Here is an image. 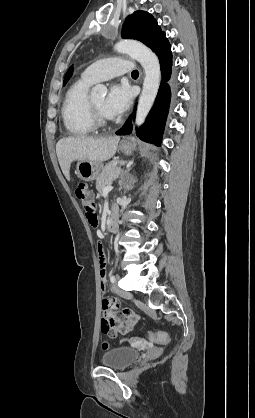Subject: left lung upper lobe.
I'll return each instance as SVG.
<instances>
[{"label":"left lung upper lobe","mask_w":255,"mask_h":418,"mask_svg":"<svg viewBox=\"0 0 255 418\" xmlns=\"http://www.w3.org/2000/svg\"><path fill=\"white\" fill-rule=\"evenodd\" d=\"M122 38L141 41L153 52H156L167 40L165 32H162L157 21L145 11H136L126 18Z\"/></svg>","instance_id":"1"}]
</instances>
